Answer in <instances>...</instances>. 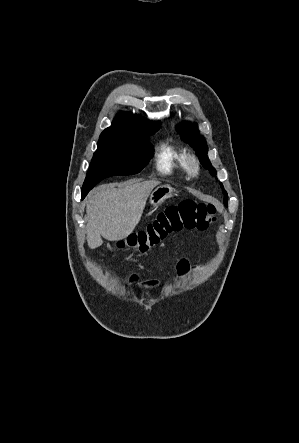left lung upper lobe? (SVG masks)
<instances>
[{"mask_svg": "<svg viewBox=\"0 0 299 443\" xmlns=\"http://www.w3.org/2000/svg\"><path fill=\"white\" fill-rule=\"evenodd\" d=\"M177 132L181 134V138L185 142L190 143V145L194 148L204 168L209 169L210 173L215 176L216 171L211 166V163L207 156L208 148L206 145V141L203 136L199 135L197 125L195 123L190 124L189 122H184L177 127ZM221 187L223 188L222 184ZM223 193L225 195L224 203L227 206L228 196L225 190L223 191Z\"/></svg>", "mask_w": 299, "mask_h": 443, "instance_id": "5c2ea615", "label": "left lung upper lobe"}]
</instances>
